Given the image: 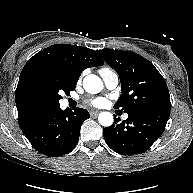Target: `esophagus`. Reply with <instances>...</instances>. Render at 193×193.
Instances as JSON below:
<instances>
[{
  "label": "esophagus",
  "mask_w": 193,
  "mask_h": 193,
  "mask_svg": "<svg viewBox=\"0 0 193 193\" xmlns=\"http://www.w3.org/2000/svg\"><path fill=\"white\" fill-rule=\"evenodd\" d=\"M99 113H100V111H90V116L96 117Z\"/></svg>",
  "instance_id": "1"
}]
</instances>
